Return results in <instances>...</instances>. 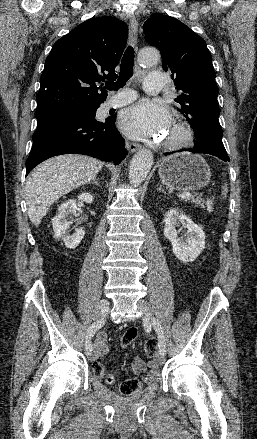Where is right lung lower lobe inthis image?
<instances>
[{
	"label": "right lung lower lobe",
	"mask_w": 257,
	"mask_h": 439,
	"mask_svg": "<svg viewBox=\"0 0 257 439\" xmlns=\"http://www.w3.org/2000/svg\"><path fill=\"white\" fill-rule=\"evenodd\" d=\"M96 111H69L38 119L26 175L42 161L62 154H84L119 164L127 154L115 116L95 118Z\"/></svg>",
	"instance_id": "98d812e1"
}]
</instances>
